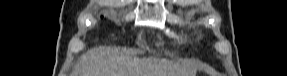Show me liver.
Returning <instances> with one entry per match:
<instances>
[{"mask_svg": "<svg viewBox=\"0 0 287 76\" xmlns=\"http://www.w3.org/2000/svg\"><path fill=\"white\" fill-rule=\"evenodd\" d=\"M76 76H194L195 70L182 68L164 59L132 57L117 47H94L84 53L75 68ZM187 74V75H185Z\"/></svg>", "mask_w": 287, "mask_h": 76, "instance_id": "obj_1", "label": "liver"}]
</instances>
